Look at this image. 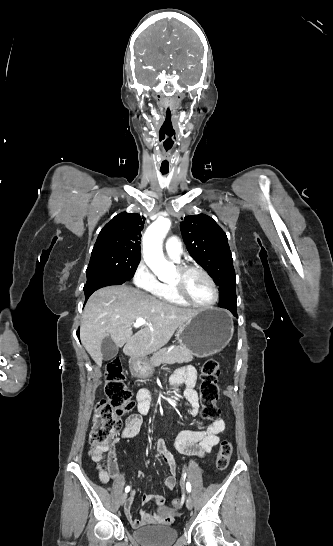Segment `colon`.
I'll use <instances>...</instances> for the list:
<instances>
[{"label": "colon", "mask_w": 333, "mask_h": 546, "mask_svg": "<svg viewBox=\"0 0 333 546\" xmlns=\"http://www.w3.org/2000/svg\"><path fill=\"white\" fill-rule=\"evenodd\" d=\"M221 374V365L215 359L204 362L201 368L200 399L202 404L201 415L207 420L219 418L220 411L216 406L219 397L218 378ZM134 407L132 391L127 386L125 375L119 358H112L106 365L105 398L95 409L94 424L90 434L93 447L108 445L118 434L121 428V417ZM232 445L223 441L220 445L216 468L224 471L232 455ZM182 501L176 498L172 501L174 508H179Z\"/></svg>", "instance_id": "5ec220e1"}]
</instances>
